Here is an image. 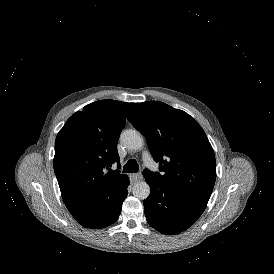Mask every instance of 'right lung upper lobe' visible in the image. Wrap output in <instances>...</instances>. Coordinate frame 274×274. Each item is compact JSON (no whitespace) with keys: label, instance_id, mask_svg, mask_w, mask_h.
I'll return each mask as SVG.
<instances>
[{"label":"right lung upper lobe","instance_id":"cb5924a9","mask_svg":"<svg viewBox=\"0 0 274 274\" xmlns=\"http://www.w3.org/2000/svg\"><path fill=\"white\" fill-rule=\"evenodd\" d=\"M133 103L106 99L74 113L55 141L54 171L63 201L76 220L96 216L128 179L120 170L117 142Z\"/></svg>","mask_w":274,"mask_h":274}]
</instances>
